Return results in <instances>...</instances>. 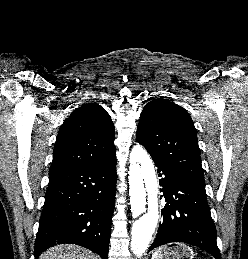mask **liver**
Instances as JSON below:
<instances>
[{"mask_svg":"<svg viewBox=\"0 0 248 259\" xmlns=\"http://www.w3.org/2000/svg\"><path fill=\"white\" fill-rule=\"evenodd\" d=\"M39 259H98V256L83 247L62 244L49 248Z\"/></svg>","mask_w":248,"mask_h":259,"instance_id":"obj_1","label":"liver"}]
</instances>
